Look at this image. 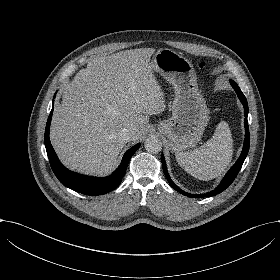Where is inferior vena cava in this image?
Segmentation results:
<instances>
[{
  "instance_id": "602c4592",
  "label": "inferior vena cava",
  "mask_w": 280,
  "mask_h": 280,
  "mask_svg": "<svg viewBox=\"0 0 280 280\" xmlns=\"http://www.w3.org/2000/svg\"><path fill=\"white\" fill-rule=\"evenodd\" d=\"M119 137L122 141L124 142H129L133 139V134L130 132L129 129L123 128L120 132H119Z\"/></svg>"
}]
</instances>
